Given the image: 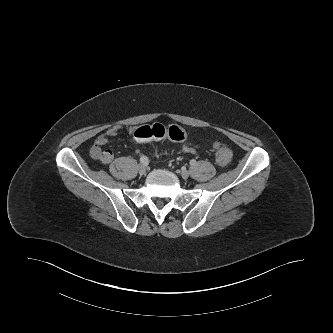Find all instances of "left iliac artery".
Wrapping results in <instances>:
<instances>
[{
  "instance_id": "1",
  "label": "left iliac artery",
  "mask_w": 333,
  "mask_h": 333,
  "mask_svg": "<svg viewBox=\"0 0 333 333\" xmlns=\"http://www.w3.org/2000/svg\"><path fill=\"white\" fill-rule=\"evenodd\" d=\"M195 164H196V160L192 159V160L190 161V165H191V166H194Z\"/></svg>"
}]
</instances>
